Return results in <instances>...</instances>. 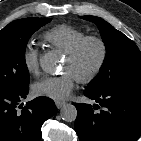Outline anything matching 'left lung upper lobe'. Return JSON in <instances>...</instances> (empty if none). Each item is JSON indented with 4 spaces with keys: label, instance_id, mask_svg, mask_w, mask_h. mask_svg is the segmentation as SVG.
I'll return each instance as SVG.
<instances>
[{
    "label": "left lung upper lobe",
    "instance_id": "left-lung-upper-lobe-1",
    "mask_svg": "<svg viewBox=\"0 0 141 141\" xmlns=\"http://www.w3.org/2000/svg\"><path fill=\"white\" fill-rule=\"evenodd\" d=\"M81 18L98 26L106 47L101 75L86 90L100 92L113 86L141 87V53L136 44L102 18Z\"/></svg>",
    "mask_w": 141,
    "mask_h": 141
}]
</instances>
